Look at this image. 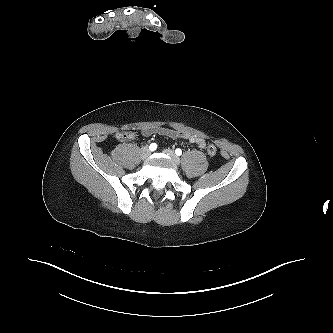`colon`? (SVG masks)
Masks as SVG:
<instances>
[{"instance_id": "5ec220e1", "label": "colon", "mask_w": 333, "mask_h": 333, "mask_svg": "<svg viewBox=\"0 0 333 333\" xmlns=\"http://www.w3.org/2000/svg\"><path fill=\"white\" fill-rule=\"evenodd\" d=\"M134 133L129 132V131H123V132H119L117 133L116 137L121 140V141H126V140H131L134 138ZM217 152L216 147L213 144H209L207 146V154L209 156H214Z\"/></svg>"}]
</instances>
